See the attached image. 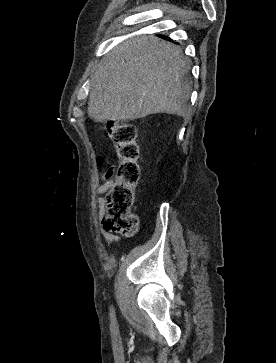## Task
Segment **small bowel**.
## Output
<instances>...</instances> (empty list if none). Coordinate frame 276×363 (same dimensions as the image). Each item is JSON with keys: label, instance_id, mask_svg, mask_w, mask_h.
Instances as JSON below:
<instances>
[{"label": "small bowel", "instance_id": "obj_1", "mask_svg": "<svg viewBox=\"0 0 276 363\" xmlns=\"http://www.w3.org/2000/svg\"><path fill=\"white\" fill-rule=\"evenodd\" d=\"M103 162L104 159L100 156L97 159V165L98 167H102L103 166ZM97 179L99 181H101L102 183L100 185H98L96 187V193L98 195H101L103 193H105L106 191H108L111 186L113 185L114 181L113 179L110 177V173H101L99 172L97 174ZM96 204L99 207V218H101L104 214V200L102 197H98L96 199ZM102 236L104 237V239L108 242V244L112 243V242H119L120 241V237L118 235H115L113 233L107 232L103 229L100 230Z\"/></svg>", "mask_w": 276, "mask_h": 363}]
</instances>
